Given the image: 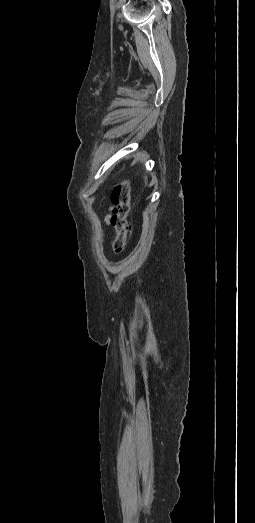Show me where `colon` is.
I'll use <instances>...</instances> for the list:
<instances>
[{
  "instance_id": "obj_1",
  "label": "colon",
  "mask_w": 255,
  "mask_h": 523,
  "mask_svg": "<svg viewBox=\"0 0 255 523\" xmlns=\"http://www.w3.org/2000/svg\"><path fill=\"white\" fill-rule=\"evenodd\" d=\"M111 202L114 205V211L110 223L116 232L113 250L115 253H121L132 231L128 218L131 208V187L128 180H122L115 185L111 194Z\"/></svg>"
}]
</instances>
